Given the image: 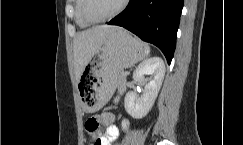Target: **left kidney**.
Listing matches in <instances>:
<instances>
[{
  "label": "left kidney",
  "instance_id": "obj_1",
  "mask_svg": "<svg viewBox=\"0 0 243 145\" xmlns=\"http://www.w3.org/2000/svg\"><path fill=\"white\" fill-rule=\"evenodd\" d=\"M145 75H151L145 79ZM165 75V64L160 57H151L138 65L133 73V79L143 84L144 91L141 97L134 92L125 96L126 112L135 119L145 117L154 105Z\"/></svg>",
  "mask_w": 243,
  "mask_h": 145
}]
</instances>
